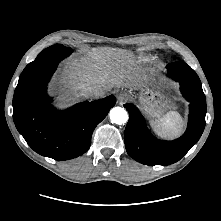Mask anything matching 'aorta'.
Returning a JSON list of instances; mask_svg holds the SVG:
<instances>
[{
    "mask_svg": "<svg viewBox=\"0 0 221 221\" xmlns=\"http://www.w3.org/2000/svg\"><path fill=\"white\" fill-rule=\"evenodd\" d=\"M109 115L111 122L118 125L125 124L128 121L127 111L122 107L112 108Z\"/></svg>",
    "mask_w": 221,
    "mask_h": 221,
    "instance_id": "762f6f07",
    "label": "aorta"
}]
</instances>
